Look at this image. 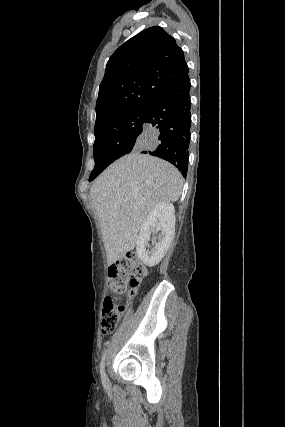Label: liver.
I'll return each instance as SVG.
<instances>
[{
	"mask_svg": "<svg viewBox=\"0 0 285 427\" xmlns=\"http://www.w3.org/2000/svg\"><path fill=\"white\" fill-rule=\"evenodd\" d=\"M183 186L180 172L170 163L132 152L111 164L92 184L108 264L134 249L149 212L161 202H175Z\"/></svg>",
	"mask_w": 285,
	"mask_h": 427,
	"instance_id": "liver-1",
	"label": "liver"
}]
</instances>
